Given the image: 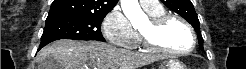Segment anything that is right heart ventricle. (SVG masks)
Segmentation results:
<instances>
[{"mask_svg": "<svg viewBox=\"0 0 246 69\" xmlns=\"http://www.w3.org/2000/svg\"><path fill=\"white\" fill-rule=\"evenodd\" d=\"M145 11L150 17H157V16H160L166 13L162 6L157 9H151V10H145Z\"/></svg>", "mask_w": 246, "mask_h": 69, "instance_id": "e07e8e85", "label": "right heart ventricle"}]
</instances>
